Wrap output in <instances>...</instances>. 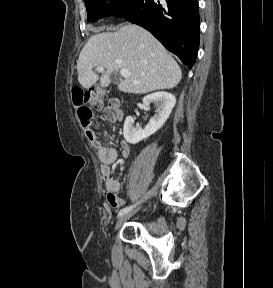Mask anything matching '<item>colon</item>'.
<instances>
[{
    "instance_id": "colon-1",
    "label": "colon",
    "mask_w": 273,
    "mask_h": 288,
    "mask_svg": "<svg viewBox=\"0 0 273 288\" xmlns=\"http://www.w3.org/2000/svg\"><path fill=\"white\" fill-rule=\"evenodd\" d=\"M73 104L77 109L78 117L84 128L89 127L92 118V109H99L101 107V99L96 91H85L79 86L72 89ZM91 107H90V106Z\"/></svg>"
}]
</instances>
